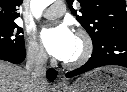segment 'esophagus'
<instances>
[{
	"instance_id": "34e87169",
	"label": "esophagus",
	"mask_w": 127,
	"mask_h": 92,
	"mask_svg": "<svg viewBox=\"0 0 127 92\" xmlns=\"http://www.w3.org/2000/svg\"><path fill=\"white\" fill-rule=\"evenodd\" d=\"M56 85H57L58 87H62V86L65 85V83L62 82V81H58V82L56 83Z\"/></svg>"
}]
</instances>
